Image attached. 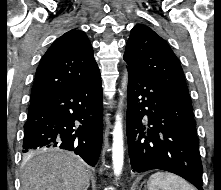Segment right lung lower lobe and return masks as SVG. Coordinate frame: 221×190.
Listing matches in <instances>:
<instances>
[{"instance_id": "right-lung-lower-lobe-1", "label": "right lung lower lobe", "mask_w": 221, "mask_h": 190, "mask_svg": "<svg viewBox=\"0 0 221 190\" xmlns=\"http://www.w3.org/2000/svg\"><path fill=\"white\" fill-rule=\"evenodd\" d=\"M24 130L23 152L58 147L95 166L103 135L100 74L30 103Z\"/></svg>"}]
</instances>
